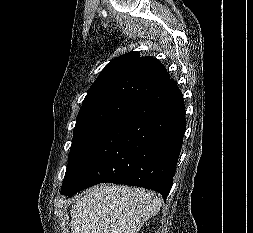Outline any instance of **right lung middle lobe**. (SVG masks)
<instances>
[{"label": "right lung middle lobe", "mask_w": 253, "mask_h": 233, "mask_svg": "<svg viewBox=\"0 0 253 233\" xmlns=\"http://www.w3.org/2000/svg\"><path fill=\"white\" fill-rule=\"evenodd\" d=\"M134 103V100L114 98L81 107L74 128L73 142L64 179L111 131Z\"/></svg>", "instance_id": "right-lung-middle-lobe-1"}]
</instances>
